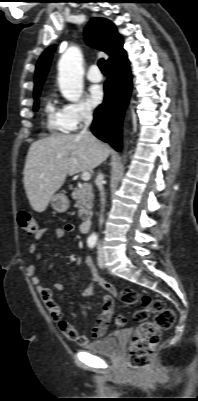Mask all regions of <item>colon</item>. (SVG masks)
I'll return each mask as SVG.
<instances>
[{"label":"colon","instance_id":"colon-1","mask_svg":"<svg viewBox=\"0 0 198 401\" xmlns=\"http://www.w3.org/2000/svg\"><path fill=\"white\" fill-rule=\"evenodd\" d=\"M17 221L25 234L32 236L38 232L37 221L29 212H19ZM120 300L127 305L141 303L143 306L134 314V319L139 325L132 336L127 358L130 369L141 370L151 361L162 331L173 326L175 313L163 301L142 295L134 289H123L120 292ZM150 313L153 314V320L148 319ZM125 325L126 318L124 316L119 315L115 318L114 326L116 328H122Z\"/></svg>","mask_w":198,"mask_h":401}]
</instances>
